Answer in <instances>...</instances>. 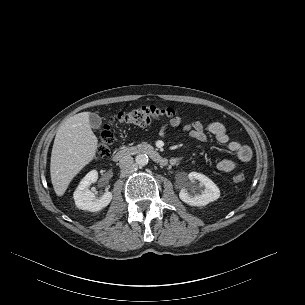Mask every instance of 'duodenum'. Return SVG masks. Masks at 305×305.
<instances>
[{
    "instance_id": "obj_1",
    "label": "duodenum",
    "mask_w": 305,
    "mask_h": 305,
    "mask_svg": "<svg viewBox=\"0 0 305 305\" xmlns=\"http://www.w3.org/2000/svg\"><path fill=\"white\" fill-rule=\"evenodd\" d=\"M138 153H145L150 156L156 163L160 165H167L168 160L153 146L142 144L135 146H128L121 148L113 154L114 161H120L127 156H133Z\"/></svg>"
}]
</instances>
